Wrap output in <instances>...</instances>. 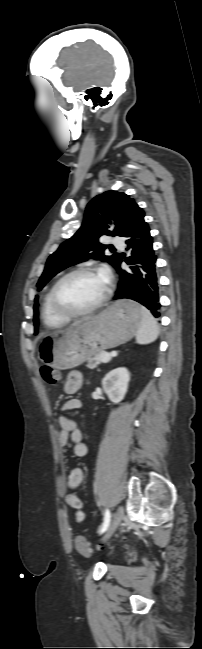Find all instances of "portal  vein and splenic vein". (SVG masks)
<instances>
[{
    "instance_id": "18ae733b",
    "label": "portal vein and splenic vein",
    "mask_w": 202,
    "mask_h": 649,
    "mask_svg": "<svg viewBox=\"0 0 202 649\" xmlns=\"http://www.w3.org/2000/svg\"><path fill=\"white\" fill-rule=\"evenodd\" d=\"M111 360V355L109 353H102L101 354V361L103 363H108Z\"/></svg>"
}]
</instances>
